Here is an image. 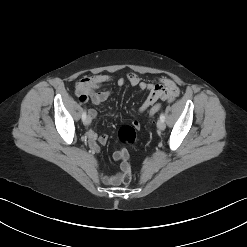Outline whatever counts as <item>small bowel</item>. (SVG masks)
<instances>
[{
	"label": "small bowel",
	"mask_w": 247,
	"mask_h": 247,
	"mask_svg": "<svg viewBox=\"0 0 247 247\" xmlns=\"http://www.w3.org/2000/svg\"><path fill=\"white\" fill-rule=\"evenodd\" d=\"M112 81V77L106 74H96L87 76L80 79L76 84V95L81 102H88L89 100L93 104H101L106 101L111 92L109 90H97L103 84ZM127 81L141 91H147L148 95L144 102L139 107V112L144 113L149 107L154 105L158 100H165L172 102L179 95V88L176 83L169 78H161L158 83H146L136 73H129L127 75ZM126 83L125 78H119L117 80L118 86H123ZM91 117L96 116L94 110H90ZM91 140H98L101 144H105L108 141L106 134L97 135L94 131L90 130L87 133ZM93 149L98 151V147L93 145ZM114 159L121 160L120 151L114 153ZM104 183L108 185H119L121 182V174H115L112 176H102Z\"/></svg>",
	"instance_id": "c3829d8e"
}]
</instances>
